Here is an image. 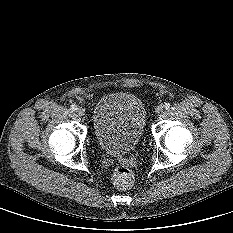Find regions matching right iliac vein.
Masks as SVG:
<instances>
[{
    "label": "right iliac vein",
    "mask_w": 233,
    "mask_h": 233,
    "mask_svg": "<svg viewBox=\"0 0 233 233\" xmlns=\"http://www.w3.org/2000/svg\"><path fill=\"white\" fill-rule=\"evenodd\" d=\"M76 112H77V114L79 116H84L85 115V110L83 108H81V107L77 108Z\"/></svg>",
    "instance_id": "obj_1"
}]
</instances>
